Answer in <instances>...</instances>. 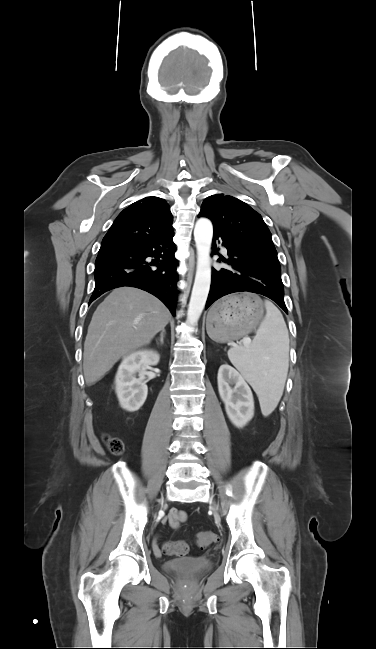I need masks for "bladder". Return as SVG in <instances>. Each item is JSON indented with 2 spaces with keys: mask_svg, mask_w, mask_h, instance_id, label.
<instances>
[{
  "mask_svg": "<svg viewBox=\"0 0 376 649\" xmlns=\"http://www.w3.org/2000/svg\"><path fill=\"white\" fill-rule=\"evenodd\" d=\"M212 562L206 558L185 557L167 561L163 568L167 572H178L190 578H196L209 570Z\"/></svg>",
  "mask_w": 376,
  "mask_h": 649,
  "instance_id": "bladder-1",
  "label": "bladder"
}]
</instances>
